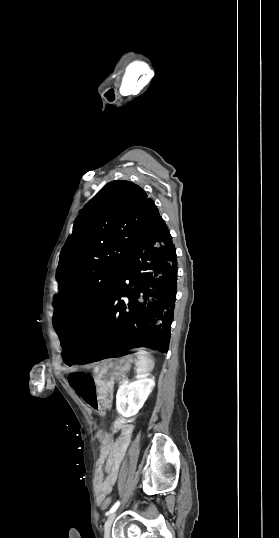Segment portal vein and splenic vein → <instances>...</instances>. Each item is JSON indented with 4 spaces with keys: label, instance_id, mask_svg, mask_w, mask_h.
<instances>
[{
    "label": "portal vein and splenic vein",
    "instance_id": "18ae733b",
    "mask_svg": "<svg viewBox=\"0 0 279 538\" xmlns=\"http://www.w3.org/2000/svg\"><path fill=\"white\" fill-rule=\"evenodd\" d=\"M129 377H125V383H128Z\"/></svg>",
    "mask_w": 279,
    "mask_h": 538
}]
</instances>
